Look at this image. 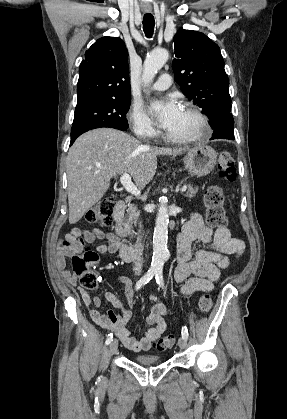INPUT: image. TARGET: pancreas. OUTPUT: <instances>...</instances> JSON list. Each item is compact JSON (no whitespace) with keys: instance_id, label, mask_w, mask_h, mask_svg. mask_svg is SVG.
<instances>
[{"instance_id":"1","label":"pancreas","mask_w":287,"mask_h":419,"mask_svg":"<svg viewBox=\"0 0 287 419\" xmlns=\"http://www.w3.org/2000/svg\"><path fill=\"white\" fill-rule=\"evenodd\" d=\"M197 188L193 187L192 185H187V192L185 194L186 197L193 198L197 193ZM139 212L134 205H129L127 208V215L124 218L123 225L125 229L130 232L133 231V225L136 224Z\"/></svg>"}]
</instances>
